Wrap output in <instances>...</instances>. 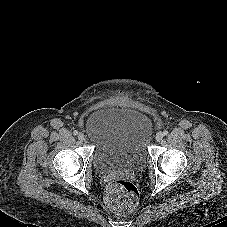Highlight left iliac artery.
<instances>
[{"instance_id": "1", "label": "left iliac artery", "mask_w": 227, "mask_h": 227, "mask_svg": "<svg viewBox=\"0 0 227 227\" xmlns=\"http://www.w3.org/2000/svg\"><path fill=\"white\" fill-rule=\"evenodd\" d=\"M163 134H164V135H167V134H168V131H167V130H164V131H163Z\"/></svg>"}]
</instances>
